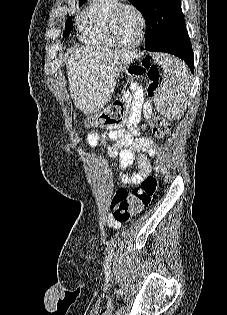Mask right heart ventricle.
Returning <instances> with one entry per match:
<instances>
[{"label": "right heart ventricle", "instance_id": "e07e8e85", "mask_svg": "<svg viewBox=\"0 0 227 315\" xmlns=\"http://www.w3.org/2000/svg\"><path fill=\"white\" fill-rule=\"evenodd\" d=\"M120 0H89L79 16L80 29L86 41L95 46L113 47L108 36V19Z\"/></svg>", "mask_w": 227, "mask_h": 315}]
</instances>
